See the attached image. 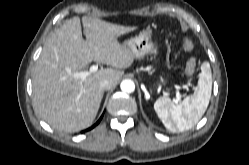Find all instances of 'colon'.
<instances>
[{
  "instance_id": "5ec220e1",
  "label": "colon",
  "mask_w": 249,
  "mask_h": 165,
  "mask_svg": "<svg viewBox=\"0 0 249 165\" xmlns=\"http://www.w3.org/2000/svg\"><path fill=\"white\" fill-rule=\"evenodd\" d=\"M184 49L187 52H191L194 48V44L190 39H184L183 41ZM196 70V60L194 57H190L186 63L185 72L188 76H193Z\"/></svg>"
}]
</instances>
